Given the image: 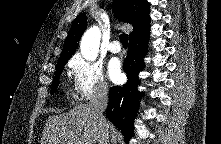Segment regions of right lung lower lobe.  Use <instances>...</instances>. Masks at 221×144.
I'll list each match as a JSON object with an SVG mask.
<instances>
[{
	"instance_id": "obj_1",
	"label": "right lung lower lobe",
	"mask_w": 221,
	"mask_h": 144,
	"mask_svg": "<svg viewBox=\"0 0 221 144\" xmlns=\"http://www.w3.org/2000/svg\"><path fill=\"white\" fill-rule=\"evenodd\" d=\"M149 36L150 27L130 37L128 55L124 61L127 83L122 87H111L109 92L107 118L122 131L126 142L133 136L134 118L139 108V100L144 95L137 90L138 72L142 68V58L146 54Z\"/></svg>"
}]
</instances>
